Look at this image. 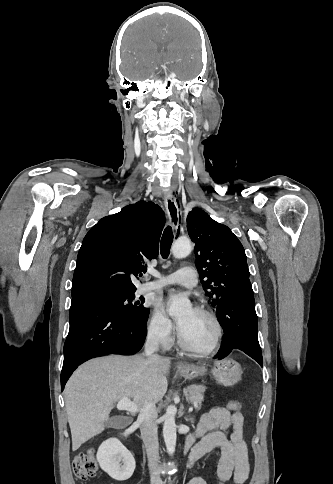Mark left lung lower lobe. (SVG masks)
<instances>
[{"label": "left lung lower lobe", "instance_id": "left-lung-lower-lobe-1", "mask_svg": "<svg viewBox=\"0 0 333 484\" xmlns=\"http://www.w3.org/2000/svg\"><path fill=\"white\" fill-rule=\"evenodd\" d=\"M229 296L237 298L236 302ZM216 315L224 330V336L222 347L214 358L221 360L233 349H239L263 366L257 335L254 293L249 280L235 284L223 294Z\"/></svg>", "mask_w": 333, "mask_h": 484}]
</instances>
